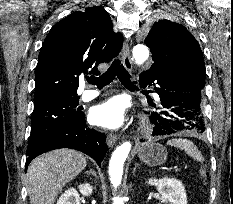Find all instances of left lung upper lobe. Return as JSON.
Segmentation results:
<instances>
[{"mask_svg":"<svg viewBox=\"0 0 233 204\" xmlns=\"http://www.w3.org/2000/svg\"><path fill=\"white\" fill-rule=\"evenodd\" d=\"M145 43L152 52L154 63L176 57L198 77L202 85L205 84V64L200 45L185 27L167 19L158 20L151 26ZM154 63L142 74L150 72Z\"/></svg>","mask_w":233,"mask_h":204,"instance_id":"5c2ea615","label":"left lung upper lobe"}]
</instances>
